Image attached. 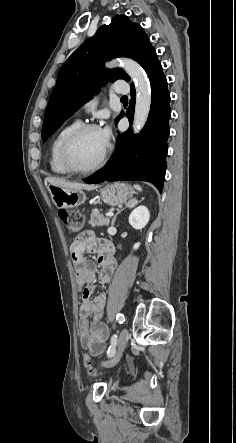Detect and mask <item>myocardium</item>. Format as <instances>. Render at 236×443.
Instances as JSON below:
<instances>
[{
    "mask_svg": "<svg viewBox=\"0 0 236 443\" xmlns=\"http://www.w3.org/2000/svg\"><path fill=\"white\" fill-rule=\"evenodd\" d=\"M93 129L101 130V128L98 125L94 124V123H83V124H80L63 141V143L61 145V148H60V160H61V163L63 164V166L70 173L78 174V175L92 174V173H95L98 170H100L104 166V164L106 163L107 158H108L109 153H110V145H109V143L107 144L106 149L103 152V154L101 155V157L98 160V162L94 166H92L90 168H85V169L84 168H78L71 161L70 150H71V147H72L73 143L83 133H85L88 130H93Z\"/></svg>",
    "mask_w": 236,
    "mask_h": 443,
    "instance_id": "myocardium-1",
    "label": "myocardium"
}]
</instances>
